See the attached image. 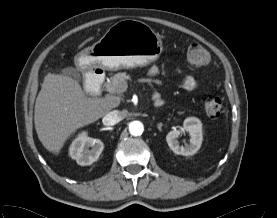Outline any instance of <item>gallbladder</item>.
Wrapping results in <instances>:
<instances>
[{"label": "gallbladder", "mask_w": 277, "mask_h": 218, "mask_svg": "<svg viewBox=\"0 0 277 218\" xmlns=\"http://www.w3.org/2000/svg\"><path fill=\"white\" fill-rule=\"evenodd\" d=\"M63 75L69 76L71 78H74L76 80H81V76L79 71L74 67H67L62 70Z\"/></svg>", "instance_id": "obj_1"}]
</instances>
